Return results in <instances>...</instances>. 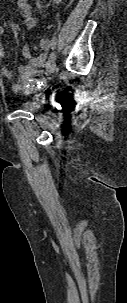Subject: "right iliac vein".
I'll return each instance as SVG.
<instances>
[{"instance_id": "1", "label": "right iliac vein", "mask_w": 127, "mask_h": 303, "mask_svg": "<svg viewBox=\"0 0 127 303\" xmlns=\"http://www.w3.org/2000/svg\"><path fill=\"white\" fill-rule=\"evenodd\" d=\"M56 70V64L53 63L50 66L47 67L46 69V75H51L52 73H54Z\"/></svg>"}]
</instances>
